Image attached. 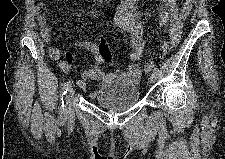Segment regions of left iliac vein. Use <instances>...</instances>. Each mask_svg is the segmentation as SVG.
Wrapping results in <instances>:
<instances>
[{
	"label": "left iliac vein",
	"mask_w": 225,
	"mask_h": 159,
	"mask_svg": "<svg viewBox=\"0 0 225 159\" xmlns=\"http://www.w3.org/2000/svg\"><path fill=\"white\" fill-rule=\"evenodd\" d=\"M157 80V74H155L154 72L150 75L149 81L150 83H155Z\"/></svg>",
	"instance_id": "4c4485c4"
}]
</instances>
